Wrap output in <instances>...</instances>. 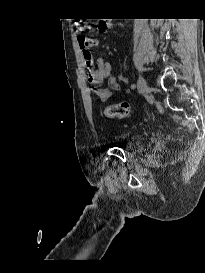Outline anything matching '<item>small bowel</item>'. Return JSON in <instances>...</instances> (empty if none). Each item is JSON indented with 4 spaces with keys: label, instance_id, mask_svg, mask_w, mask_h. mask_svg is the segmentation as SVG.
<instances>
[{
    "label": "small bowel",
    "instance_id": "obj_1",
    "mask_svg": "<svg viewBox=\"0 0 205 273\" xmlns=\"http://www.w3.org/2000/svg\"><path fill=\"white\" fill-rule=\"evenodd\" d=\"M78 46L81 49L84 63L89 67V81L92 85H99L107 80L108 88H100L95 91L96 96L102 102L108 100L113 91H118L120 85L112 75V66L103 57L94 58L91 48L99 44L93 37L78 36Z\"/></svg>",
    "mask_w": 205,
    "mask_h": 273
}]
</instances>
